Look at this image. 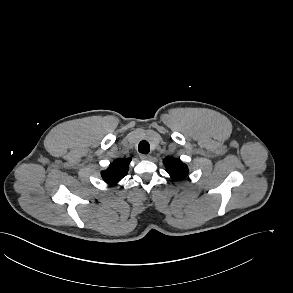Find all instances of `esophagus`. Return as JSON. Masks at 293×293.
Here are the masks:
<instances>
[{
	"label": "esophagus",
	"mask_w": 293,
	"mask_h": 293,
	"mask_svg": "<svg viewBox=\"0 0 293 293\" xmlns=\"http://www.w3.org/2000/svg\"><path fill=\"white\" fill-rule=\"evenodd\" d=\"M142 160H149L151 158L150 155H146V154H140L139 156Z\"/></svg>",
	"instance_id": "esophagus-1"
}]
</instances>
